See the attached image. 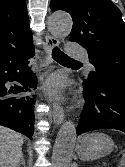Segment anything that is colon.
I'll use <instances>...</instances> for the list:
<instances>
[{
    "label": "colon",
    "mask_w": 125,
    "mask_h": 167,
    "mask_svg": "<svg viewBox=\"0 0 125 167\" xmlns=\"http://www.w3.org/2000/svg\"><path fill=\"white\" fill-rule=\"evenodd\" d=\"M119 167H125V150L121 152V162Z\"/></svg>",
    "instance_id": "5ec220e1"
}]
</instances>
